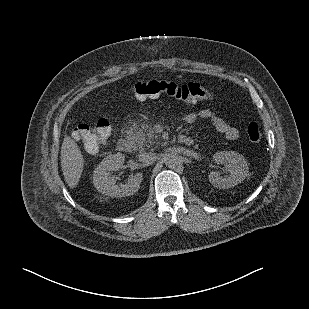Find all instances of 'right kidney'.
Here are the masks:
<instances>
[{
	"label": "right kidney",
	"instance_id": "1",
	"mask_svg": "<svg viewBox=\"0 0 309 309\" xmlns=\"http://www.w3.org/2000/svg\"><path fill=\"white\" fill-rule=\"evenodd\" d=\"M124 155L121 153L113 154L97 166L94 171L93 184L102 194L111 197H125L136 193L143 179L142 173L138 172L131 176L125 184H116L118 177L112 175L111 171H118L124 163Z\"/></svg>",
	"mask_w": 309,
	"mask_h": 309
}]
</instances>
